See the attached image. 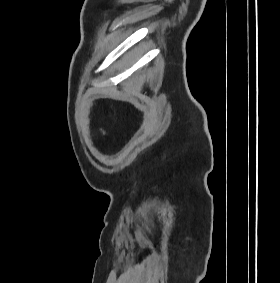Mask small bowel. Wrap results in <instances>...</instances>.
I'll return each instance as SVG.
<instances>
[{"label": "small bowel", "instance_id": "small-bowel-1", "mask_svg": "<svg viewBox=\"0 0 280 283\" xmlns=\"http://www.w3.org/2000/svg\"><path fill=\"white\" fill-rule=\"evenodd\" d=\"M102 133H105V131L103 129H100Z\"/></svg>", "mask_w": 280, "mask_h": 283}]
</instances>
